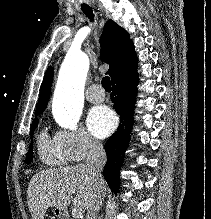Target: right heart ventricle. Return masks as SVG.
Instances as JSON below:
<instances>
[{"label":"right heart ventricle","instance_id":"e07e8e85","mask_svg":"<svg viewBox=\"0 0 211 219\" xmlns=\"http://www.w3.org/2000/svg\"><path fill=\"white\" fill-rule=\"evenodd\" d=\"M37 146L41 161L47 165H63L68 161L55 139H51L45 131L38 136Z\"/></svg>","mask_w":211,"mask_h":219}]
</instances>
